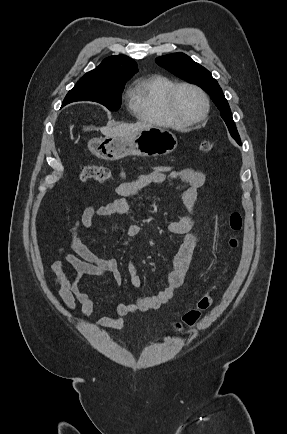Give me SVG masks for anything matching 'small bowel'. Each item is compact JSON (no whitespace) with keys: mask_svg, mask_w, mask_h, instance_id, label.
Masks as SVG:
<instances>
[{"mask_svg":"<svg viewBox=\"0 0 287 434\" xmlns=\"http://www.w3.org/2000/svg\"><path fill=\"white\" fill-rule=\"evenodd\" d=\"M205 183V175L201 170L184 168L176 170L171 166L140 167L139 173L131 180L117 186V198L103 206H89L77 217L69 229V245L77 254L68 252L63 246L58 248L60 256L76 271L73 279H69L64 263L55 261L51 265V281L59 287V296L69 311L81 305L85 317L93 313L95 298L80 289V283L85 277L111 275L118 286L123 284V277L116 260L103 259L97 256L77 237L79 227L90 228L96 219L108 217H127L133 209L147 205L140 192L151 185H166L177 187L181 184L183 215L180 219L169 222L166 230L170 235H184V240L175 254L170 271L166 277L165 286L152 295L141 296L133 302H120L115 305L116 316H103L96 322L101 328L121 329L125 326L124 316L138 312H148L160 308L171 300L176 289L183 283L184 277L193 259L200 241V230L195 224L197 191ZM141 231V226L131 223L124 229V244L129 245V239ZM127 269L130 282L134 287L142 285L137 266L132 258L128 259Z\"/></svg>","mask_w":287,"mask_h":434,"instance_id":"obj_1","label":"small bowel"}]
</instances>
